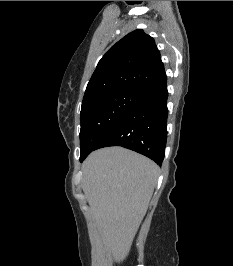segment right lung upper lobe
<instances>
[{"instance_id": "cb5924a9", "label": "right lung upper lobe", "mask_w": 233, "mask_h": 266, "mask_svg": "<svg viewBox=\"0 0 233 266\" xmlns=\"http://www.w3.org/2000/svg\"><path fill=\"white\" fill-rule=\"evenodd\" d=\"M165 77L154 39L138 29L115 43L98 62L83 102L119 90L146 92Z\"/></svg>"}]
</instances>
